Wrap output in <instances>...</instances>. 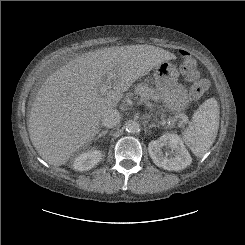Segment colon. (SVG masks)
I'll return each instance as SVG.
<instances>
[{"instance_id": "5ec220e1", "label": "colon", "mask_w": 245, "mask_h": 245, "mask_svg": "<svg viewBox=\"0 0 245 245\" xmlns=\"http://www.w3.org/2000/svg\"><path fill=\"white\" fill-rule=\"evenodd\" d=\"M180 70L190 84L189 93L191 97L199 98L208 91L209 80L201 76L196 60L189 52H180Z\"/></svg>"}]
</instances>
